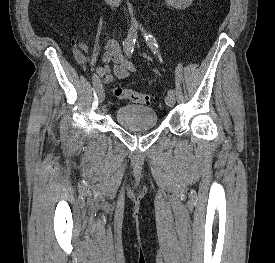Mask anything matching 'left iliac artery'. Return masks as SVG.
I'll list each match as a JSON object with an SVG mask.
<instances>
[{
  "label": "left iliac artery",
  "instance_id": "left-iliac-artery-1",
  "mask_svg": "<svg viewBox=\"0 0 275 263\" xmlns=\"http://www.w3.org/2000/svg\"><path fill=\"white\" fill-rule=\"evenodd\" d=\"M143 34L147 42V45L151 48L154 54L157 53L158 45H157L156 39L153 37V35L146 33L144 30H143ZM168 94L175 95V91L173 89H170L168 91Z\"/></svg>",
  "mask_w": 275,
  "mask_h": 263
}]
</instances>
